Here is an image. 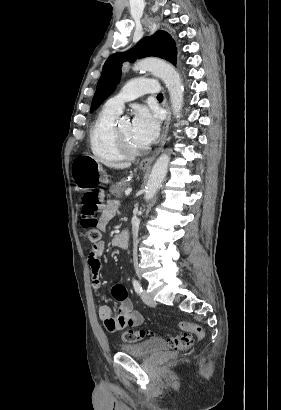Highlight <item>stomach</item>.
Listing matches in <instances>:
<instances>
[{"label":"stomach","instance_id":"stomach-1","mask_svg":"<svg viewBox=\"0 0 281 410\" xmlns=\"http://www.w3.org/2000/svg\"><path fill=\"white\" fill-rule=\"evenodd\" d=\"M71 176L79 190H91L101 184L109 183L100 162L89 155H81L73 160Z\"/></svg>","mask_w":281,"mask_h":410}]
</instances>
